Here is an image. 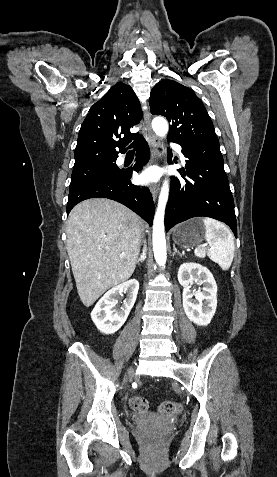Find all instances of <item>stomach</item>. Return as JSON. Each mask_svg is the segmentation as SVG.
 <instances>
[{"instance_id": "stomach-1", "label": "stomach", "mask_w": 277, "mask_h": 477, "mask_svg": "<svg viewBox=\"0 0 277 477\" xmlns=\"http://www.w3.org/2000/svg\"><path fill=\"white\" fill-rule=\"evenodd\" d=\"M205 225L201 218L190 219L173 230L174 242L184 248L200 244L205 238Z\"/></svg>"}]
</instances>
